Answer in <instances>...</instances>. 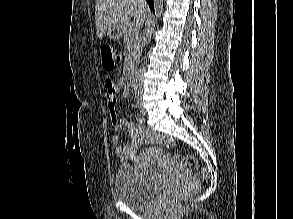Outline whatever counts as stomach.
I'll list each match as a JSON object with an SVG mask.
<instances>
[{
    "label": "stomach",
    "instance_id": "stomach-1",
    "mask_svg": "<svg viewBox=\"0 0 293 219\" xmlns=\"http://www.w3.org/2000/svg\"><path fill=\"white\" fill-rule=\"evenodd\" d=\"M125 33L126 27L119 24H112L106 30V34L111 40H119L123 37Z\"/></svg>",
    "mask_w": 293,
    "mask_h": 219
}]
</instances>
